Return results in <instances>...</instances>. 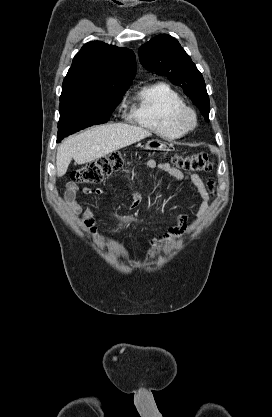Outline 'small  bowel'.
Returning <instances> with one entry per match:
<instances>
[{
  "mask_svg": "<svg viewBox=\"0 0 272 417\" xmlns=\"http://www.w3.org/2000/svg\"><path fill=\"white\" fill-rule=\"evenodd\" d=\"M137 166H144L149 169L163 171L178 181H190L196 188L199 200L200 207L198 215H204L208 204H209V194L211 191V183L206 184L202 178L193 173H183L179 169L171 166L169 163L157 162L153 159L142 160L136 163ZM107 187H101L95 190V194L98 200H102L106 196ZM78 194L89 196L93 194V191L88 187L79 188L76 183L68 182L66 184L64 198L67 208L74 214H80L82 208L78 201ZM140 203V197L137 193L132 194L130 207L136 208ZM84 225L91 235L96 233V223H95V211L93 208H87L84 213ZM188 216L185 213H179L176 216V225L171 228L164 236V239H169L173 237H179L183 235L186 226H187Z\"/></svg>",
  "mask_w": 272,
  "mask_h": 417,
  "instance_id": "obj_1",
  "label": "small bowel"
}]
</instances>
